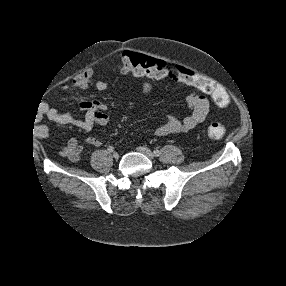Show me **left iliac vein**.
Masks as SVG:
<instances>
[{"label": "left iliac vein", "instance_id": "1", "mask_svg": "<svg viewBox=\"0 0 286 286\" xmlns=\"http://www.w3.org/2000/svg\"><path fill=\"white\" fill-rule=\"evenodd\" d=\"M137 151L144 154L145 156L149 157L152 160L155 157L154 153L147 147H143V146L137 147Z\"/></svg>", "mask_w": 286, "mask_h": 286}]
</instances>
